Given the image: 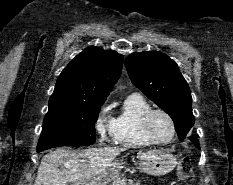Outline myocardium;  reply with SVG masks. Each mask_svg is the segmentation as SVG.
<instances>
[{
  "label": "myocardium",
  "mask_w": 233,
  "mask_h": 185,
  "mask_svg": "<svg viewBox=\"0 0 233 185\" xmlns=\"http://www.w3.org/2000/svg\"><path fill=\"white\" fill-rule=\"evenodd\" d=\"M156 114L164 115L169 120V122L171 124L172 134L166 140H160V139L156 138L155 135L152 132L151 122H152L153 117ZM142 127H143V131H144V134L146 135V137L151 142H153L155 144H167V143L171 142L174 139L175 135H176L175 121H174L173 117L167 111H165L163 109H151V110H149L143 117Z\"/></svg>",
  "instance_id": "myocardium-1"
}]
</instances>
